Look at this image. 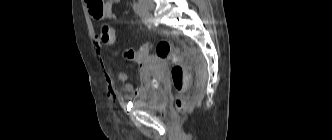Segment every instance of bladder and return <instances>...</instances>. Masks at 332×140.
I'll return each instance as SVG.
<instances>
[{
  "mask_svg": "<svg viewBox=\"0 0 332 140\" xmlns=\"http://www.w3.org/2000/svg\"><path fill=\"white\" fill-rule=\"evenodd\" d=\"M165 99V93L160 90L150 92L146 97L137 100L134 104L144 109H154L160 106Z\"/></svg>",
  "mask_w": 332,
  "mask_h": 140,
  "instance_id": "bladder-1",
  "label": "bladder"
}]
</instances>
